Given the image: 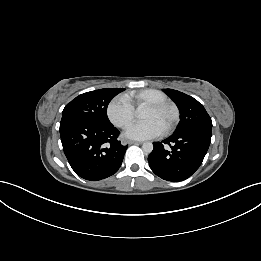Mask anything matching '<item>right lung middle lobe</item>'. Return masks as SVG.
Listing matches in <instances>:
<instances>
[{
  "instance_id": "1",
  "label": "right lung middle lobe",
  "mask_w": 261,
  "mask_h": 261,
  "mask_svg": "<svg viewBox=\"0 0 261 261\" xmlns=\"http://www.w3.org/2000/svg\"><path fill=\"white\" fill-rule=\"evenodd\" d=\"M124 88H105L83 93L68 103L62 111L63 116L101 124H111L107 117V106Z\"/></svg>"
}]
</instances>
